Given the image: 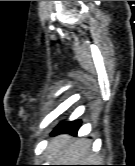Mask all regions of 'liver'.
I'll return each instance as SVG.
<instances>
[{"mask_svg":"<svg viewBox=\"0 0 135 166\" xmlns=\"http://www.w3.org/2000/svg\"><path fill=\"white\" fill-rule=\"evenodd\" d=\"M46 159L53 165H90L98 158L91 152V142L86 139L74 141L62 134L51 139L46 149Z\"/></svg>","mask_w":135,"mask_h":166,"instance_id":"obj_1","label":"liver"}]
</instances>
